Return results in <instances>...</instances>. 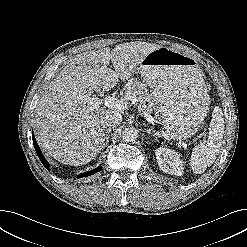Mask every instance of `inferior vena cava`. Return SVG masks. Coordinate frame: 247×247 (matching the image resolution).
<instances>
[{
  "label": "inferior vena cava",
  "mask_w": 247,
  "mask_h": 247,
  "mask_svg": "<svg viewBox=\"0 0 247 247\" xmlns=\"http://www.w3.org/2000/svg\"><path fill=\"white\" fill-rule=\"evenodd\" d=\"M122 121V116L118 112H110L105 117V126L108 128H113L120 124Z\"/></svg>",
  "instance_id": "obj_1"
}]
</instances>
